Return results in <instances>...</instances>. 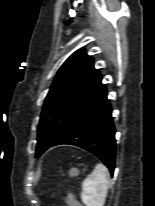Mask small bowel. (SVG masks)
I'll use <instances>...</instances> for the list:
<instances>
[{"label":"small bowel","instance_id":"1","mask_svg":"<svg viewBox=\"0 0 155 206\" xmlns=\"http://www.w3.org/2000/svg\"><path fill=\"white\" fill-rule=\"evenodd\" d=\"M67 206H70L69 200L66 201Z\"/></svg>","mask_w":155,"mask_h":206}]
</instances>
